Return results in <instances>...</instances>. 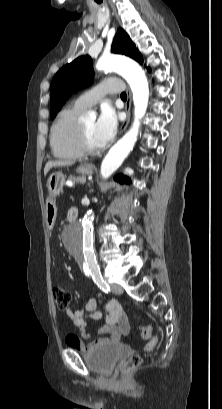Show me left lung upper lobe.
Here are the masks:
<instances>
[{
	"instance_id": "left-lung-upper-lobe-1",
	"label": "left lung upper lobe",
	"mask_w": 222,
	"mask_h": 409,
	"mask_svg": "<svg viewBox=\"0 0 222 409\" xmlns=\"http://www.w3.org/2000/svg\"><path fill=\"white\" fill-rule=\"evenodd\" d=\"M112 52L127 55L140 64L143 59L127 33L119 28L112 44ZM92 59L81 56L63 66L54 76L51 87V118L60 110L66 99L81 88L89 86L93 81ZM149 70V69H148Z\"/></svg>"
}]
</instances>
